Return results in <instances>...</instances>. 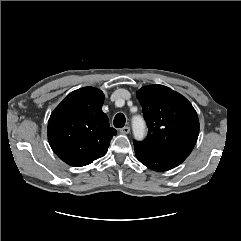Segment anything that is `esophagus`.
I'll return each mask as SVG.
<instances>
[{"label":"esophagus","instance_id":"obj_1","mask_svg":"<svg viewBox=\"0 0 241 241\" xmlns=\"http://www.w3.org/2000/svg\"><path fill=\"white\" fill-rule=\"evenodd\" d=\"M129 132H130V127H128V126H125L120 129L121 134H128Z\"/></svg>","mask_w":241,"mask_h":241}]
</instances>
